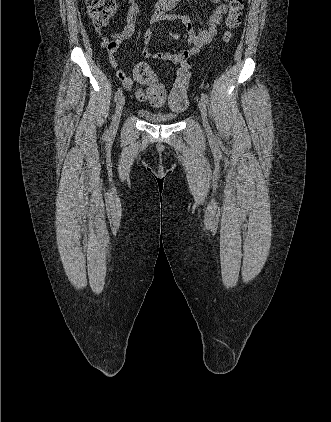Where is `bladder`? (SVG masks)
Masks as SVG:
<instances>
[{
	"mask_svg": "<svg viewBox=\"0 0 331 422\" xmlns=\"http://www.w3.org/2000/svg\"><path fill=\"white\" fill-rule=\"evenodd\" d=\"M138 113L146 120L152 123H157V124L172 123L178 119L177 115L175 114L153 112L147 109H140Z\"/></svg>",
	"mask_w": 331,
	"mask_h": 422,
	"instance_id": "obj_1",
	"label": "bladder"
}]
</instances>
